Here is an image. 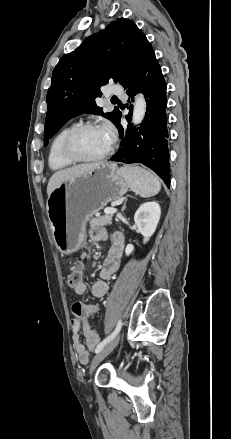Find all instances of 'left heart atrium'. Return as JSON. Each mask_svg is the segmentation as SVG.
Wrapping results in <instances>:
<instances>
[{"label":"left heart atrium","instance_id":"1","mask_svg":"<svg viewBox=\"0 0 231 439\" xmlns=\"http://www.w3.org/2000/svg\"><path fill=\"white\" fill-rule=\"evenodd\" d=\"M101 129L103 130V132L107 136L109 142L111 143L113 141V139H114V129H113V127L110 124L106 123V124H104L101 127Z\"/></svg>","mask_w":231,"mask_h":439}]
</instances>
